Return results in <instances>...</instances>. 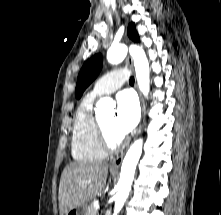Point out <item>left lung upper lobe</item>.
Segmentation results:
<instances>
[{"label":"left lung upper lobe","instance_id":"5c2ea615","mask_svg":"<svg viewBox=\"0 0 221 215\" xmlns=\"http://www.w3.org/2000/svg\"><path fill=\"white\" fill-rule=\"evenodd\" d=\"M128 36L135 42L139 41V36L136 32L134 23H130L128 26ZM102 64L103 62L101 54H96L85 62L78 75L75 89L76 98H80L85 89L98 76L102 69Z\"/></svg>","mask_w":221,"mask_h":215}]
</instances>
